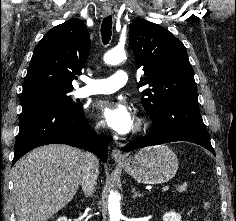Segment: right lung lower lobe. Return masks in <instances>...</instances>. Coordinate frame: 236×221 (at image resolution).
Returning a JSON list of instances; mask_svg holds the SVG:
<instances>
[{"mask_svg": "<svg viewBox=\"0 0 236 221\" xmlns=\"http://www.w3.org/2000/svg\"><path fill=\"white\" fill-rule=\"evenodd\" d=\"M61 143L83 147L107 160V144L86 121L82 107L69 110L59 106H34L22 110L14 146L12 165L28 151L47 144Z\"/></svg>", "mask_w": 236, "mask_h": 221, "instance_id": "obj_1", "label": "right lung lower lobe"}]
</instances>
